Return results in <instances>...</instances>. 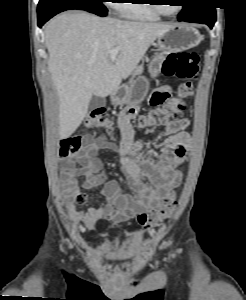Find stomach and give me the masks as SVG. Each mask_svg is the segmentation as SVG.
Here are the masks:
<instances>
[{
	"label": "stomach",
	"mask_w": 246,
	"mask_h": 300,
	"mask_svg": "<svg viewBox=\"0 0 246 300\" xmlns=\"http://www.w3.org/2000/svg\"><path fill=\"white\" fill-rule=\"evenodd\" d=\"M203 40L200 32L191 25L179 24L170 27L163 35L157 38V54L149 63V71L157 75L160 62L166 55L178 53L196 47ZM149 82L145 77L139 76L130 85L120 87L110 95L114 105H137L147 95Z\"/></svg>",
	"instance_id": "1"
}]
</instances>
